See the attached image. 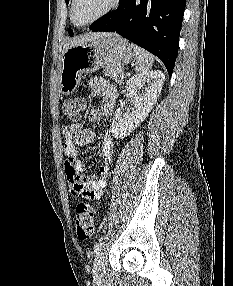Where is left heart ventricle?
<instances>
[{
  "instance_id": "left-heart-ventricle-1",
  "label": "left heart ventricle",
  "mask_w": 233,
  "mask_h": 286,
  "mask_svg": "<svg viewBox=\"0 0 233 286\" xmlns=\"http://www.w3.org/2000/svg\"><path fill=\"white\" fill-rule=\"evenodd\" d=\"M112 0H76L74 8V18L79 24L86 23L104 10H106Z\"/></svg>"
}]
</instances>
